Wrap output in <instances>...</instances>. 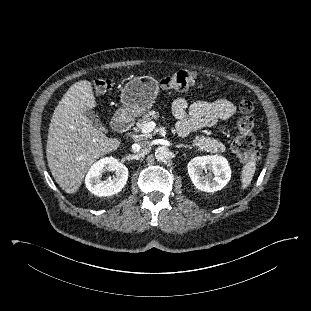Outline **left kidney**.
Returning a JSON list of instances; mask_svg holds the SVG:
<instances>
[{
	"mask_svg": "<svg viewBox=\"0 0 311 311\" xmlns=\"http://www.w3.org/2000/svg\"><path fill=\"white\" fill-rule=\"evenodd\" d=\"M187 168L192 183L204 192L221 190L231 178L228 161L218 155L195 157L188 163Z\"/></svg>",
	"mask_w": 311,
	"mask_h": 311,
	"instance_id": "left-kidney-1",
	"label": "left kidney"
}]
</instances>
